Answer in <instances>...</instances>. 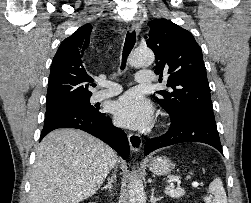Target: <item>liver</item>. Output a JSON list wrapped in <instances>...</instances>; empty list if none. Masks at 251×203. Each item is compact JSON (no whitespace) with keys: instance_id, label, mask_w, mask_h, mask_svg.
<instances>
[{"instance_id":"1","label":"liver","mask_w":251,"mask_h":203,"mask_svg":"<svg viewBox=\"0 0 251 203\" xmlns=\"http://www.w3.org/2000/svg\"><path fill=\"white\" fill-rule=\"evenodd\" d=\"M117 160L108 145L83 131H52L36 149L29 203H80L96 193Z\"/></svg>"}]
</instances>
